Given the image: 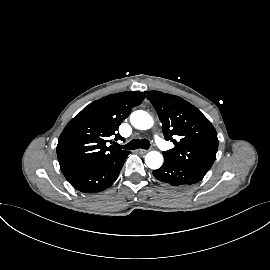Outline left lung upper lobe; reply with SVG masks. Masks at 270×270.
<instances>
[{"mask_svg": "<svg viewBox=\"0 0 270 270\" xmlns=\"http://www.w3.org/2000/svg\"><path fill=\"white\" fill-rule=\"evenodd\" d=\"M147 99L162 122L165 139L175 145L163 152L164 158L205 175L218 149L217 133L210 121L196 107L178 96L150 91Z\"/></svg>", "mask_w": 270, "mask_h": 270, "instance_id": "1", "label": "left lung upper lobe"}]
</instances>
